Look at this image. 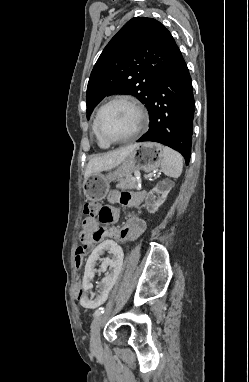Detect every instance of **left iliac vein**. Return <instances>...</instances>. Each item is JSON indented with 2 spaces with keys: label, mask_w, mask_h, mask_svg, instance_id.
Masks as SVG:
<instances>
[{
  "label": "left iliac vein",
  "mask_w": 249,
  "mask_h": 382,
  "mask_svg": "<svg viewBox=\"0 0 249 382\" xmlns=\"http://www.w3.org/2000/svg\"><path fill=\"white\" fill-rule=\"evenodd\" d=\"M103 321V315L95 316L91 323V349L93 352L101 350L100 327Z\"/></svg>",
  "instance_id": "obj_1"
}]
</instances>
